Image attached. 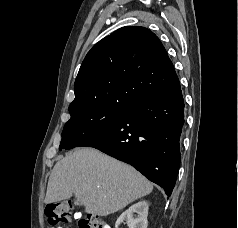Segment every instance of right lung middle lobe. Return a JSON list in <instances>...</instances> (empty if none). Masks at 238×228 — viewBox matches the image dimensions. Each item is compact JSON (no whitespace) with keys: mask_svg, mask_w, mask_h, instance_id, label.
I'll use <instances>...</instances> for the list:
<instances>
[{"mask_svg":"<svg viewBox=\"0 0 238 228\" xmlns=\"http://www.w3.org/2000/svg\"><path fill=\"white\" fill-rule=\"evenodd\" d=\"M128 105H97L86 107L71 114L66 122L59 150H68L79 146L114 123Z\"/></svg>","mask_w":238,"mask_h":228,"instance_id":"1","label":"right lung middle lobe"}]
</instances>
